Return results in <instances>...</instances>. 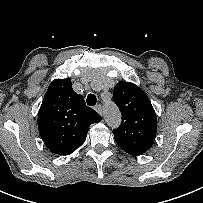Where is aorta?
I'll list each match as a JSON object with an SVG mask.
<instances>
[{
    "label": "aorta",
    "instance_id": "762f6f07",
    "mask_svg": "<svg viewBox=\"0 0 203 203\" xmlns=\"http://www.w3.org/2000/svg\"><path fill=\"white\" fill-rule=\"evenodd\" d=\"M104 116L110 126H116L121 120L120 113L113 102H109L105 106Z\"/></svg>",
    "mask_w": 203,
    "mask_h": 203
}]
</instances>
